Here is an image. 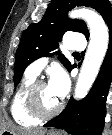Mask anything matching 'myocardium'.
Segmentation results:
<instances>
[{"instance_id":"myocardium-1","label":"myocardium","mask_w":112,"mask_h":135,"mask_svg":"<svg viewBox=\"0 0 112 135\" xmlns=\"http://www.w3.org/2000/svg\"><path fill=\"white\" fill-rule=\"evenodd\" d=\"M47 83L44 80H36L28 89L26 94V107L29 113L38 120L49 119L57 114L62 110L63 103L60 102L58 106L51 110V111H44L39 104V90L42 86L46 85Z\"/></svg>"}]
</instances>
